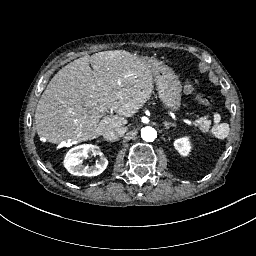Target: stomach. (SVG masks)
Instances as JSON below:
<instances>
[{
  "label": "stomach",
  "instance_id": "obj_1",
  "mask_svg": "<svg viewBox=\"0 0 256 256\" xmlns=\"http://www.w3.org/2000/svg\"><path fill=\"white\" fill-rule=\"evenodd\" d=\"M159 98L165 109L177 112L181 109L182 85L179 78L168 68H161V74L156 77Z\"/></svg>",
  "mask_w": 256,
  "mask_h": 256
}]
</instances>
